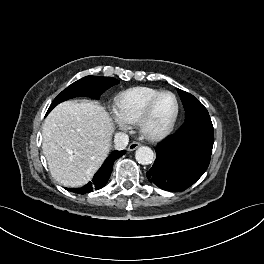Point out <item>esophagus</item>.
Masks as SVG:
<instances>
[{
    "label": "esophagus",
    "instance_id": "34e87169",
    "mask_svg": "<svg viewBox=\"0 0 264 264\" xmlns=\"http://www.w3.org/2000/svg\"><path fill=\"white\" fill-rule=\"evenodd\" d=\"M140 145L141 144L139 142H135L134 141V142H132V143L129 144L128 150L129 151H133V150L137 149Z\"/></svg>",
    "mask_w": 264,
    "mask_h": 264
}]
</instances>
